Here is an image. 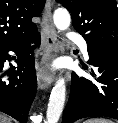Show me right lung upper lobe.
I'll use <instances>...</instances> for the list:
<instances>
[{"label": "right lung upper lobe", "mask_w": 118, "mask_h": 123, "mask_svg": "<svg viewBox=\"0 0 118 123\" xmlns=\"http://www.w3.org/2000/svg\"><path fill=\"white\" fill-rule=\"evenodd\" d=\"M45 0H0V48L24 42L37 33L32 22Z\"/></svg>", "instance_id": "obj_1"}]
</instances>
